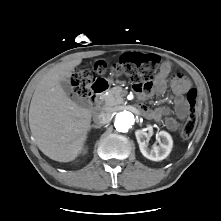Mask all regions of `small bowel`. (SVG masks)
I'll list each match as a JSON object with an SVG mask.
<instances>
[{"mask_svg":"<svg viewBox=\"0 0 221 221\" xmlns=\"http://www.w3.org/2000/svg\"><path fill=\"white\" fill-rule=\"evenodd\" d=\"M142 53H133L128 52L122 55L121 61H126L132 56H138ZM172 71V66L170 62L163 61L160 66V71L158 74V77L156 79V82L154 84L153 90L150 92H144L142 90L137 89L139 96L141 98H145L148 95L154 93L162 94L165 90L166 80L169 76V74ZM172 88L175 91V93L178 95V97L175 100L174 103V109L175 114L177 118L170 116V110L167 107L161 106L157 107L155 109H148L143 108V112L151 119L155 121H160L163 117H165V126L171 130L176 131L179 128L180 121H183L188 113V108L186 105V102L184 99L180 96L182 92L187 90L190 87V82L184 75V73L180 70L176 71L174 73L172 82H171Z\"/></svg>","mask_w":221,"mask_h":221,"instance_id":"1","label":"small bowel"}]
</instances>
